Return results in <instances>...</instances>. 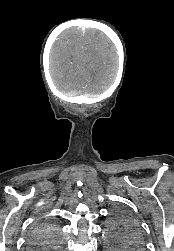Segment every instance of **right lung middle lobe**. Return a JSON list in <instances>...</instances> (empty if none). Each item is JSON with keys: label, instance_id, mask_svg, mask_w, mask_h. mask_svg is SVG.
I'll list each match as a JSON object with an SVG mask.
<instances>
[{"label": "right lung middle lobe", "instance_id": "dd1d6c3e", "mask_svg": "<svg viewBox=\"0 0 174 251\" xmlns=\"http://www.w3.org/2000/svg\"><path fill=\"white\" fill-rule=\"evenodd\" d=\"M57 227L49 221H38L31 232L29 247L32 250L54 251L60 244L56 239Z\"/></svg>", "mask_w": 174, "mask_h": 251}]
</instances>
